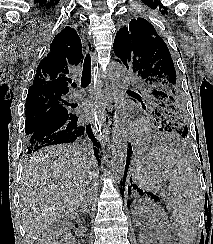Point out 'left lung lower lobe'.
<instances>
[{
    "instance_id": "0a47b994",
    "label": "left lung lower lobe",
    "mask_w": 213,
    "mask_h": 244,
    "mask_svg": "<svg viewBox=\"0 0 213 244\" xmlns=\"http://www.w3.org/2000/svg\"><path fill=\"white\" fill-rule=\"evenodd\" d=\"M166 128L167 127L164 124L163 125L161 124V128L159 130L160 131H165ZM131 155H132V146H129L128 149H127V160H126V167H125L123 184L125 183V180H126V176H127V171H128Z\"/></svg>"
}]
</instances>
